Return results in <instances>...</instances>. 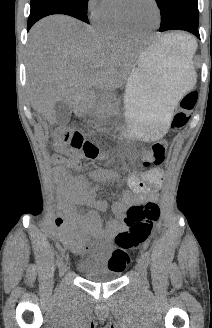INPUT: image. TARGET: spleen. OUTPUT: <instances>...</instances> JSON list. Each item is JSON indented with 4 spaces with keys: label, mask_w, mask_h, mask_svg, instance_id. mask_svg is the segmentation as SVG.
<instances>
[{
    "label": "spleen",
    "mask_w": 212,
    "mask_h": 328,
    "mask_svg": "<svg viewBox=\"0 0 212 328\" xmlns=\"http://www.w3.org/2000/svg\"><path fill=\"white\" fill-rule=\"evenodd\" d=\"M162 41L170 42L171 44L184 49L185 53L190 54L192 57L197 49L196 40L185 33H173L166 36Z\"/></svg>",
    "instance_id": "1"
}]
</instances>
